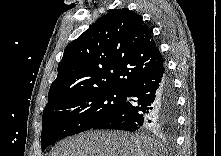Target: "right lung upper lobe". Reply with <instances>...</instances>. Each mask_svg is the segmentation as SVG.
<instances>
[{
	"mask_svg": "<svg viewBox=\"0 0 221 156\" xmlns=\"http://www.w3.org/2000/svg\"><path fill=\"white\" fill-rule=\"evenodd\" d=\"M163 65L142 17L127 8L112 10L66 46L45 108L78 93L127 91Z\"/></svg>",
	"mask_w": 221,
	"mask_h": 156,
	"instance_id": "right-lung-upper-lobe-1",
	"label": "right lung upper lobe"
}]
</instances>
